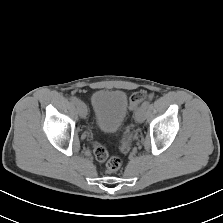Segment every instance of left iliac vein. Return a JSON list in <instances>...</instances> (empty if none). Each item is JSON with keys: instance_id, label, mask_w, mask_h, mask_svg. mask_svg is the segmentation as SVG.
Returning a JSON list of instances; mask_svg holds the SVG:
<instances>
[{"instance_id": "left-iliac-vein-1", "label": "left iliac vein", "mask_w": 223, "mask_h": 223, "mask_svg": "<svg viewBox=\"0 0 223 223\" xmlns=\"http://www.w3.org/2000/svg\"><path fill=\"white\" fill-rule=\"evenodd\" d=\"M144 119H145V108L141 106L135 112V120L138 123H142Z\"/></svg>"}]
</instances>
